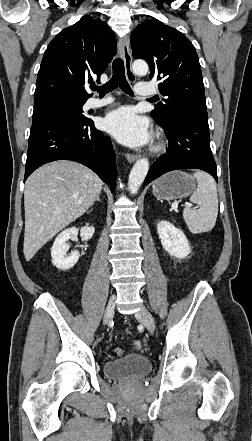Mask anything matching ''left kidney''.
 Masks as SVG:
<instances>
[{
    "mask_svg": "<svg viewBox=\"0 0 252 441\" xmlns=\"http://www.w3.org/2000/svg\"><path fill=\"white\" fill-rule=\"evenodd\" d=\"M157 233L165 251L176 258H186L190 252V246L182 230L176 228L166 220L157 224Z\"/></svg>",
    "mask_w": 252,
    "mask_h": 441,
    "instance_id": "5707ae66",
    "label": "left kidney"
}]
</instances>
